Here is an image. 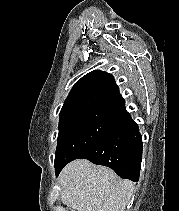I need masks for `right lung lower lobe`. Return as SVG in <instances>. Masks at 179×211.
Returning <instances> with one entry per match:
<instances>
[{"label": "right lung lower lobe", "mask_w": 179, "mask_h": 211, "mask_svg": "<svg viewBox=\"0 0 179 211\" xmlns=\"http://www.w3.org/2000/svg\"><path fill=\"white\" fill-rule=\"evenodd\" d=\"M76 159H87L94 164L107 166L121 178L137 182L142 161V137L138 125L124 110L113 130ZM64 166L55 168L56 176Z\"/></svg>", "instance_id": "1"}]
</instances>
